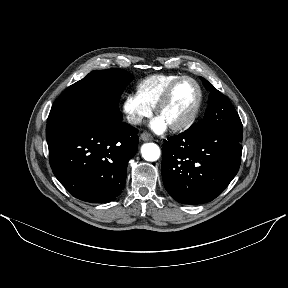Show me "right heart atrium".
Returning <instances> with one entry per match:
<instances>
[{"label":"right heart atrium","instance_id":"obj_1","mask_svg":"<svg viewBox=\"0 0 288 288\" xmlns=\"http://www.w3.org/2000/svg\"><path fill=\"white\" fill-rule=\"evenodd\" d=\"M122 109L131 124H140L143 119L152 114V108L144 104L136 94L129 93L125 96Z\"/></svg>","mask_w":288,"mask_h":288}]
</instances>
